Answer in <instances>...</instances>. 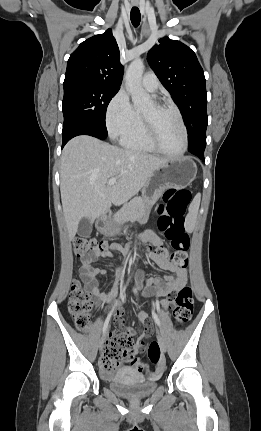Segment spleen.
<instances>
[{
  "label": "spleen",
  "instance_id": "1",
  "mask_svg": "<svg viewBox=\"0 0 261 431\" xmlns=\"http://www.w3.org/2000/svg\"><path fill=\"white\" fill-rule=\"evenodd\" d=\"M199 205H200V195H197V196L194 198V200H193V202H192V204H191V206H190V210H191V212H193V213H197V212H198V209H199Z\"/></svg>",
  "mask_w": 261,
  "mask_h": 431
}]
</instances>
